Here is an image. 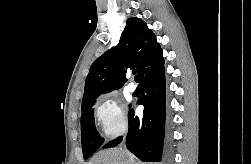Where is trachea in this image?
<instances>
[{"mask_svg": "<svg viewBox=\"0 0 251 164\" xmlns=\"http://www.w3.org/2000/svg\"><path fill=\"white\" fill-rule=\"evenodd\" d=\"M137 73V71L136 70H133V74H136Z\"/></svg>", "mask_w": 251, "mask_h": 164, "instance_id": "trachea-1", "label": "trachea"}]
</instances>
